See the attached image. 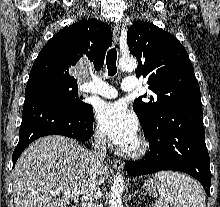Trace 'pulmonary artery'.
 Masks as SVG:
<instances>
[{"label":"pulmonary artery","mask_w":220,"mask_h":207,"mask_svg":"<svg viewBox=\"0 0 220 207\" xmlns=\"http://www.w3.org/2000/svg\"><path fill=\"white\" fill-rule=\"evenodd\" d=\"M137 87V80L132 76L126 77L121 84V88L125 92L134 91ZM87 91L104 98H116L118 96V91L113 86L100 80H95L89 85Z\"/></svg>","instance_id":"1"}]
</instances>
